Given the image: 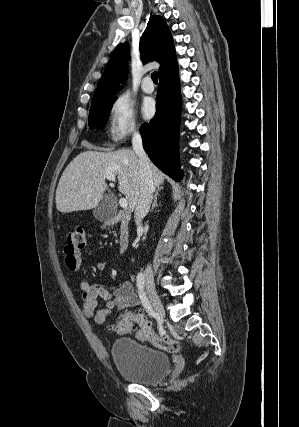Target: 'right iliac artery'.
Here are the masks:
<instances>
[{
    "instance_id": "1",
    "label": "right iliac artery",
    "mask_w": 299,
    "mask_h": 427,
    "mask_svg": "<svg viewBox=\"0 0 299 427\" xmlns=\"http://www.w3.org/2000/svg\"><path fill=\"white\" fill-rule=\"evenodd\" d=\"M136 282H137V287H138V293H139L143 307L145 308V310L147 311V313L151 317H154L155 311L153 310V308L150 304V301L148 300L146 293H145V290H144L145 280H144L143 273H138Z\"/></svg>"
}]
</instances>
